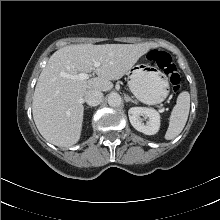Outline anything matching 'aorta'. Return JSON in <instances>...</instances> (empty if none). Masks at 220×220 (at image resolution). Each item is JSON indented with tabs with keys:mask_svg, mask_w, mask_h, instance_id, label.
<instances>
[{
	"mask_svg": "<svg viewBox=\"0 0 220 220\" xmlns=\"http://www.w3.org/2000/svg\"><path fill=\"white\" fill-rule=\"evenodd\" d=\"M108 104L111 106V107H118L121 105L122 103V99H121V96L117 93H111L109 96H108Z\"/></svg>",
	"mask_w": 220,
	"mask_h": 220,
	"instance_id": "obj_1",
	"label": "aorta"
}]
</instances>
